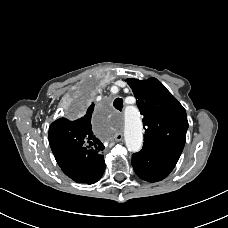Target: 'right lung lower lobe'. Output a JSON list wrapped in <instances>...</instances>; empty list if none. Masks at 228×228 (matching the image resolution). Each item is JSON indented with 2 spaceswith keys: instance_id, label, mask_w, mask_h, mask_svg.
Returning <instances> with one entry per match:
<instances>
[{
  "instance_id": "98d812e1",
  "label": "right lung lower lobe",
  "mask_w": 228,
  "mask_h": 228,
  "mask_svg": "<svg viewBox=\"0 0 228 228\" xmlns=\"http://www.w3.org/2000/svg\"><path fill=\"white\" fill-rule=\"evenodd\" d=\"M55 158L63 172L78 183L93 184L102 177L105 170L102 153L77 149Z\"/></svg>"
}]
</instances>
